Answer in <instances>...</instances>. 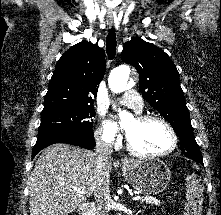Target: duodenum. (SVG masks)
I'll list each match as a JSON object with an SVG mask.
<instances>
[{
	"label": "duodenum",
	"instance_id": "410a0bca",
	"mask_svg": "<svg viewBox=\"0 0 221 215\" xmlns=\"http://www.w3.org/2000/svg\"><path fill=\"white\" fill-rule=\"evenodd\" d=\"M94 205L92 203H88L84 206L82 214L83 215H94Z\"/></svg>",
	"mask_w": 221,
	"mask_h": 215
}]
</instances>
